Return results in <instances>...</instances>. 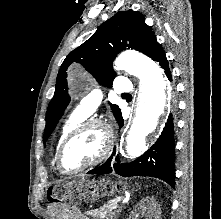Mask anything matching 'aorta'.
I'll use <instances>...</instances> for the list:
<instances>
[{
  "label": "aorta",
  "mask_w": 221,
  "mask_h": 219,
  "mask_svg": "<svg viewBox=\"0 0 221 219\" xmlns=\"http://www.w3.org/2000/svg\"><path fill=\"white\" fill-rule=\"evenodd\" d=\"M118 70H123L140 79L137 106L130 130L126 138L125 153L130 156L141 154L145 138L158 125L167 108V82L160 66L142 53L128 50L115 61ZM70 83L75 85L80 79L77 68L68 72Z\"/></svg>",
  "instance_id": "aorta-1"
}]
</instances>
